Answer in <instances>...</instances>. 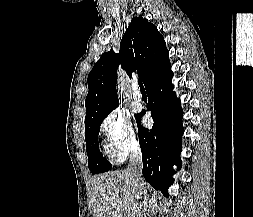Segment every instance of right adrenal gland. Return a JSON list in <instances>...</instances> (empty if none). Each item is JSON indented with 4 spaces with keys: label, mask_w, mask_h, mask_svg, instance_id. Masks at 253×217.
Instances as JSON below:
<instances>
[{
    "label": "right adrenal gland",
    "mask_w": 253,
    "mask_h": 217,
    "mask_svg": "<svg viewBox=\"0 0 253 217\" xmlns=\"http://www.w3.org/2000/svg\"><path fill=\"white\" fill-rule=\"evenodd\" d=\"M153 213H154V212H153ZM149 214H150V211L148 210V211H147V214H146V217H150Z\"/></svg>",
    "instance_id": "obj_1"
}]
</instances>
